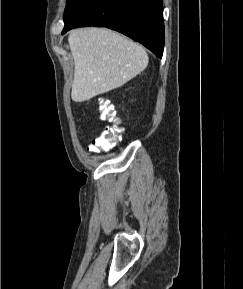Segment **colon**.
Masks as SVG:
<instances>
[{"mask_svg": "<svg viewBox=\"0 0 243 289\" xmlns=\"http://www.w3.org/2000/svg\"><path fill=\"white\" fill-rule=\"evenodd\" d=\"M99 113L102 120L113 122V125L105 127L103 131L93 139L89 146V150L92 152L112 149L125 131L114 106L108 100L104 98L99 99Z\"/></svg>", "mask_w": 243, "mask_h": 289, "instance_id": "5ec220e1", "label": "colon"}]
</instances>
